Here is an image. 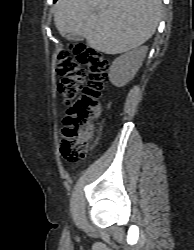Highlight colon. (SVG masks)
Masks as SVG:
<instances>
[{
  "mask_svg": "<svg viewBox=\"0 0 194 250\" xmlns=\"http://www.w3.org/2000/svg\"><path fill=\"white\" fill-rule=\"evenodd\" d=\"M82 65L86 67V83ZM108 65L102 52L85 44L73 45L58 55L57 73L62 77L58 91L66 107L61 154L67 162L77 163L87 154L91 124L101 112Z\"/></svg>",
  "mask_w": 194,
  "mask_h": 250,
  "instance_id": "colon-1",
  "label": "colon"
}]
</instances>
